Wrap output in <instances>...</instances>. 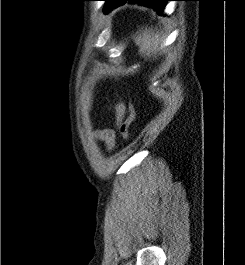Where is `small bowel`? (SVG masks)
Returning a JSON list of instances; mask_svg holds the SVG:
<instances>
[{
  "instance_id": "obj_1",
  "label": "small bowel",
  "mask_w": 245,
  "mask_h": 265,
  "mask_svg": "<svg viewBox=\"0 0 245 265\" xmlns=\"http://www.w3.org/2000/svg\"><path fill=\"white\" fill-rule=\"evenodd\" d=\"M114 112L116 117V125L119 126L126 113L125 104L123 102L116 103L114 106ZM96 137L99 141L106 145L107 149H112L115 145L116 132L114 129L105 128L97 130Z\"/></svg>"
}]
</instances>
